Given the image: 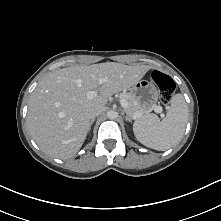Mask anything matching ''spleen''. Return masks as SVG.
<instances>
[{"instance_id": "3e777b00", "label": "spleen", "mask_w": 221, "mask_h": 221, "mask_svg": "<svg viewBox=\"0 0 221 221\" xmlns=\"http://www.w3.org/2000/svg\"><path fill=\"white\" fill-rule=\"evenodd\" d=\"M187 121L188 106L184 96L176 94L162 121L154 114H147L134 122L133 130L143 145L165 151L181 141Z\"/></svg>"}]
</instances>
